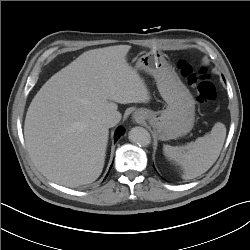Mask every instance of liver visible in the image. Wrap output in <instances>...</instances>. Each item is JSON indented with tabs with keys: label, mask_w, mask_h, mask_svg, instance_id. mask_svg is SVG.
Returning <instances> with one entry per match:
<instances>
[{
	"label": "liver",
	"mask_w": 250,
	"mask_h": 250,
	"mask_svg": "<svg viewBox=\"0 0 250 250\" xmlns=\"http://www.w3.org/2000/svg\"><path fill=\"white\" fill-rule=\"evenodd\" d=\"M131 46L84 52L54 74L33 98L25 118L28 153L49 180L70 188L102 173L109 130L102 119L118 105L148 103L149 91L126 60Z\"/></svg>",
	"instance_id": "liver-1"
}]
</instances>
